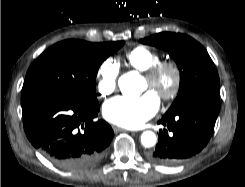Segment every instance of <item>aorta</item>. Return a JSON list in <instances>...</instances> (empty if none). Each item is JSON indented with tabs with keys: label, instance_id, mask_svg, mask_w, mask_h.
Listing matches in <instances>:
<instances>
[{
	"label": "aorta",
	"instance_id": "762f6f07",
	"mask_svg": "<svg viewBox=\"0 0 245 187\" xmlns=\"http://www.w3.org/2000/svg\"><path fill=\"white\" fill-rule=\"evenodd\" d=\"M139 76L132 73L122 75L118 80L121 92L127 98H136L139 96L138 83ZM157 138L152 131H145L141 135V143L144 147H152L156 144Z\"/></svg>",
	"mask_w": 245,
	"mask_h": 187
}]
</instances>
